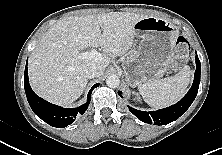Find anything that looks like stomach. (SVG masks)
<instances>
[{
    "label": "stomach",
    "instance_id": "obj_1",
    "mask_svg": "<svg viewBox=\"0 0 222 155\" xmlns=\"http://www.w3.org/2000/svg\"><path fill=\"white\" fill-rule=\"evenodd\" d=\"M140 45L123 64L125 79L131 87L157 80L168 70L179 36L177 27L158 17H146L134 25Z\"/></svg>",
    "mask_w": 222,
    "mask_h": 155
}]
</instances>
